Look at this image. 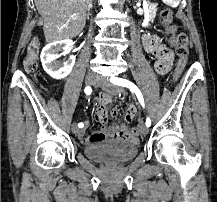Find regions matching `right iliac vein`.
Instances as JSON below:
<instances>
[{"label": "right iliac vein", "mask_w": 217, "mask_h": 202, "mask_svg": "<svg viewBox=\"0 0 217 202\" xmlns=\"http://www.w3.org/2000/svg\"><path fill=\"white\" fill-rule=\"evenodd\" d=\"M95 81H96V76L94 74H92V73L86 74V76H85L86 85H92L95 83ZM71 130L74 134H78L79 130H78L76 122H74L71 125Z\"/></svg>", "instance_id": "obj_1"}]
</instances>
